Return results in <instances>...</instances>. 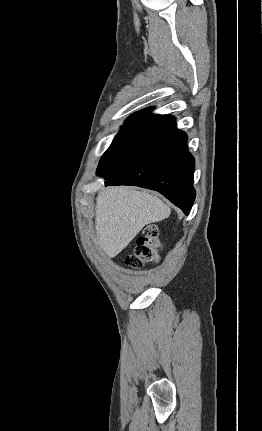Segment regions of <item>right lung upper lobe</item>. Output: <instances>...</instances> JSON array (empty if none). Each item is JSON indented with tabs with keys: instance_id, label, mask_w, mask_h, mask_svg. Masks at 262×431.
<instances>
[{
	"instance_id": "1",
	"label": "right lung upper lobe",
	"mask_w": 262,
	"mask_h": 431,
	"mask_svg": "<svg viewBox=\"0 0 262 431\" xmlns=\"http://www.w3.org/2000/svg\"><path fill=\"white\" fill-rule=\"evenodd\" d=\"M152 110V108H146L143 109L141 111H138L134 114H132L126 121H125V126L127 127H131L135 124H137L138 122L151 117L150 111Z\"/></svg>"
}]
</instances>
